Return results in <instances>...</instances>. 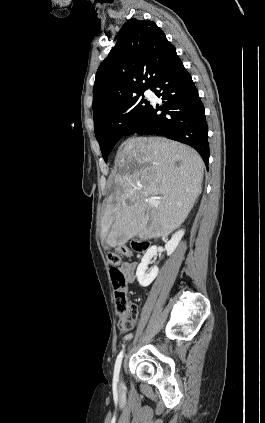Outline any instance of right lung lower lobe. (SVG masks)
Returning a JSON list of instances; mask_svg holds the SVG:
<instances>
[{"label":"right lung lower lobe","instance_id":"1","mask_svg":"<svg viewBox=\"0 0 265 423\" xmlns=\"http://www.w3.org/2000/svg\"><path fill=\"white\" fill-rule=\"evenodd\" d=\"M151 89L158 97L162 96L163 107L150 105L125 136L157 134L185 143L198 151L208 168V127L204 107L178 56L158 75Z\"/></svg>","mask_w":265,"mask_h":423}]
</instances>
